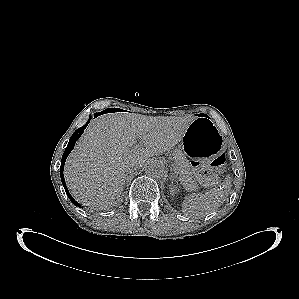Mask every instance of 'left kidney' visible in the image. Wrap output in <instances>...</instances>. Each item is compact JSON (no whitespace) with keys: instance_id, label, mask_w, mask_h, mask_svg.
Returning a JSON list of instances; mask_svg holds the SVG:
<instances>
[{"instance_id":"obj_1","label":"left kidney","mask_w":299,"mask_h":299,"mask_svg":"<svg viewBox=\"0 0 299 299\" xmlns=\"http://www.w3.org/2000/svg\"><path fill=\"white\" fill-rule=\"evenodd\" d=\"M176 191H177V187H176V186H172V187H170V192H171L172 194H175Z\"/></svg>"}]
</instances>
